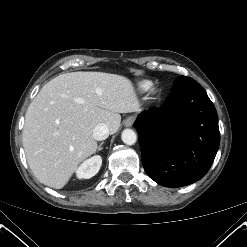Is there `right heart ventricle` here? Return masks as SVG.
Returning a JSON list of instances; mask_svg holds the SVG:
<instances>
[{
  "instance_id": "right-heart-ventricle-1",
  "label": "right heart ventricle",
  "mask_w": 247,
  "mask_h": 247,
  "mask_svg": "<svg viewBox=\"0 0 247 247\" xmlns=\"http://www.w3.org/2000/svg\"><path fill=\"white\" fill-rule=\"evenodd\" d=\"M150 86V83L148 81H142L139 83V88L141 90H146Z\"/></svg>"
}]
</instances>
